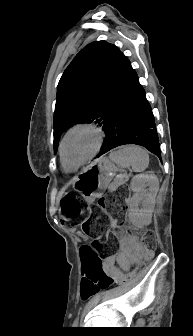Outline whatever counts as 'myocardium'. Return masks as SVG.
<instances>
[{"label": "myocardium", "mask_w": 193, "mask_h": 336, "mask_svg": "<svg viewBox=\"0 0 193 336\" xmlns=\"http://www.w3.org/2000/svg\"><path fill=\"white\" fill-rule=\"evenodd\" d=\"M80 129L90 130L93 133H95L96 138H97V143H96V146H95L93 152L87 158H85L83 161L79 162L76 165H71L66 160V158H65V155H64V145H65V142H66L67 138L69 137V135L71 133H73L74 131L80 130ZM103 142H104V132L99 127H97L96 125L91 124V123H78V124H75V125H73L71 128H69L66 131V133L64 134V136L61 139V142H60V145H59V153H60L61 161H62V163L66 167H68L70 169H73V170H76L80 166H82L85 163L89 162L91 159H93L99 153V151L102 148Z\"/></svg>", "instance_id": "f54148a6"}]
</instances>
